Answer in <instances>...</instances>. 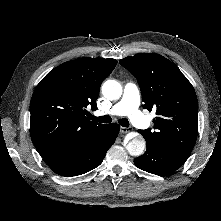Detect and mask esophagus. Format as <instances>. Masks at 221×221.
Here are the masks:
<instances>
[{
	"label": "esophagus",
	"instance_id": "34e87169",
	"mask_svg": "<svg viewBox=\"0 0 221 221\" xmlns=\"http://www.w3.org/2000/svg\"><path fill=\"white\" fill-rule=\"evenodd\" d=\"M130 131H131V129H130V128H127V127H121V128H120V132L123 133V134H124V133H128V132H130Z\"/></svg>",
	"mask_w": 221,
	"mask_h": 221
}]
</instances>
